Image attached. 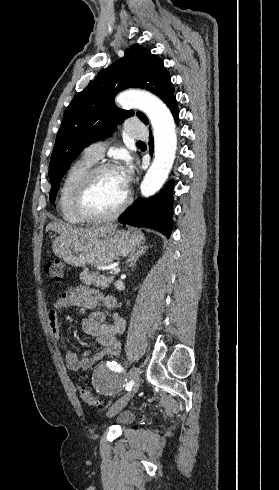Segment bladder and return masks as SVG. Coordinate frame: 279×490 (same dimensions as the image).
I'll return each instance as SVG.
<instances>
[{"instance_id":"1","label":"bladder","mask_w":279,"mask_h":490,"mask_svg":"<svg viewBox=\"0 0 279 490\" xmlns=\"http://www.w3.org/2000/svg\"><path fill=\"white\" fill-rule=\"evenodd\" d=\"M133 421H134V414L129 410L121 411L116 414V422L120 426L131 425Z\"/></svg>"}]
</instances>
